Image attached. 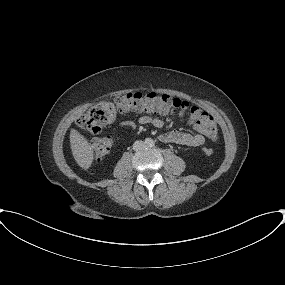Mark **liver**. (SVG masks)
<instances>
[{
  "instance_id": "6515ba94",
  "label": "liver",
  "mask_w": 285,
  "mask_h": 285,
  "mask_svg": "<svg viewBox=\"0 0 285 285\" xmlns=\"http://www.w3.org/2000/svg\"><path fill=\"white\" fill-rule=\"evenodd\" d=\"M70 144L73 157L77 164L83 169H88L93 162L94 152L87 139L77 130L71 129Z\"/></svg>"
}]
</instances>
